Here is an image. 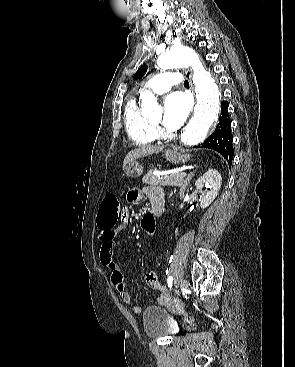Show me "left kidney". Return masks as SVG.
Masks as SVG:
<instances>
[{
  "label": "left kidney",
  "instance_id": "5707ae66",
  "mask_svg": "<svg viewBox=\"0 0 295 367\" xmlns=\"http://www.w3.org/2000/svg\"><path fill=\"white\" fill-rule=\"evenodd\" d=\"M222 183V177L215 169H209L196 182L195 187L200 193V206L202 209L208 207L216 198ZM205 186L206 190L203 191Z\"/></svg>",
  "mask_w": 295,
  "mask_h": 367
}]
</instances>
